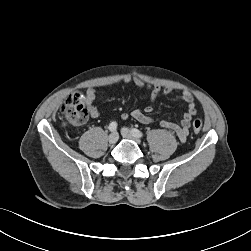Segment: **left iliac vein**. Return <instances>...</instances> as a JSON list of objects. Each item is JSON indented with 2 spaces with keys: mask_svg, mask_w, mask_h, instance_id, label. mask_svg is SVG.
Wrapping results in <instances>:
<instances>
[{
  "mask_svg": "<svg viewBox=\"0 0 251 251\" xmlns=\"http://www.w3.org/2000/svg\"><path fill=\"white\" fill-rule=\"evenodd\" d=\"M121 135L124 138L134 140L138 144L141 142L140 138L138 136H136L135 134H133V132L126 127H123L121 129Z\"/></svg>",
  "mask_w": 251,
  "mask_h": 251,
  "instance_id": "4c4485c4",
  "label": "left iliac vein"
}]
</instances>
